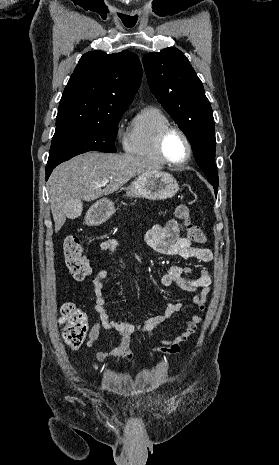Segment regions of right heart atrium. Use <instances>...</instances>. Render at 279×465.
<instances>
[{
    "label": "right heart atrium",
    "mask_w": 279,
    "mask_h": 465,
    "mask_svg": "<svg viewBox=\"0 0 279 465\" xmlns=\"http://www.w3.org/2000/svg\"><path fill=\"white\" fill-rule=\"evenodd\" d=\"M117 134H118V136H120V134H121V133H120V131H118V133H117Z\"/></svg>",
    "instance_id": "obj_1"
}]
</instances>
